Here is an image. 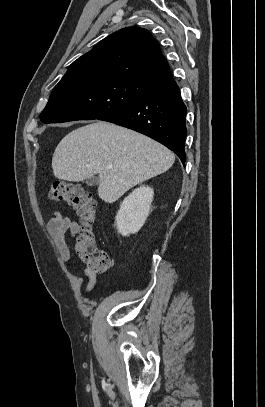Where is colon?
<instances>
[{"label":"colon","mask_w":265,"mask_h":407,"mask_svg":"<svg viewBox=\"0 0 265 407\" xmlns=\"http://www.w3.org/2000/svg\"><path fill=\"white\" fill-rule=\"evenodd\" d=\"M49 198L63 202L76 211L83 226L75 250L78 258L91 271H104L111 264L110 256L97 247L92 230L97 219V203L91 193L79 186L54 182L49 188Z\"/></svg>","instance_id":"colon-1"}]
</instances>
